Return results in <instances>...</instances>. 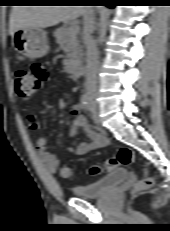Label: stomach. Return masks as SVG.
<instances>
[{
  "label": "stomach",
  "instance_id": "obj_1",
  "mask_svg": "<svg viewBox=\"0 0 170 231\" xmlns=\"http://www.w3.org/2000/svg\"><path fill=\"white\" fill-rule=\"evenodd\" d=\"M12 44L16 51L28 58H39L49 51L46 32L37 27H26L12 35Z\"/></svg>",
  "mask_w": 170,
  "mask_h": 231
}]
</instances>
